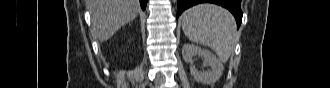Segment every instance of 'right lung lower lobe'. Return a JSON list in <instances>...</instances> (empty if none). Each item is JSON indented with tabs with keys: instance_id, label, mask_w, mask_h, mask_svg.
<instances>
[{
	"instance_id": "1",
	"label": "right lung lower lobe",
	"mask_w": 330,
	"mask_h": 88,
	"mask_svg": "<svg viewBox=\"0 0 330 88\" xmlns=\"http://www.w3.org/2000/svg\"><path fill=\"white\" fill-rule=\"evenodd\" d=\"M147 1L148 0H140V4H141L142 9H145L146 8Z\"/></svg>"
}]
</instances>
